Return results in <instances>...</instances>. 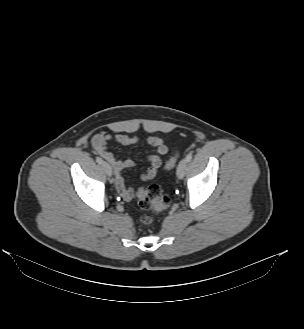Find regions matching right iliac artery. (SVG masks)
<instances>
[{
    "label": "right iliac artery",
    "instance_id": "82829eb1",
    "mask_svg": "<svg viewBox=\"0 0 304 329\" xmlns=\"http://www.w3.org/2000/svg\"><path fill=\"white\" fill-rule=\"evenodd\" d=\"M96 161H97V163H99V164H102V163H103V160H102L100 157H97V158H96Z\"/></svg>",
    "mask_w": 304,
    "mask_h": 329
}]
</instances>
